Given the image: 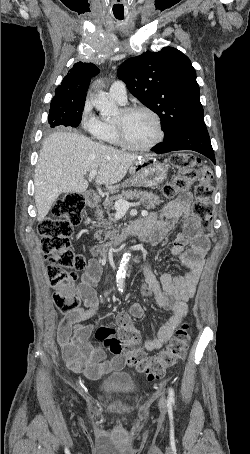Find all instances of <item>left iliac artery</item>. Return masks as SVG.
<instances>
[{
  "label": "left iliac artery",
  "mask_w": 250,
  "mask_h": 454,
  "mask_svg": "<svg viewBox=\"0 0 250 454\" xmlns=\"http://www.w3.org/2000/svg\"><path fill=\"white\" fill-rule=\"evenodd\" d=\"M168 404H173L175 402V394L173 388L168 389Z\"/></svg>",
  "instance_id": "1"
}]
</instances>
